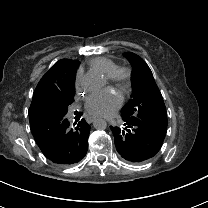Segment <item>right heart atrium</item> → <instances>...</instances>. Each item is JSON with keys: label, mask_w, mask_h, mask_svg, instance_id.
<instances>
[{"label": "right heart atrium", "mask_w": 208, "mask_h": 208, "mask_svg": "<svg viewBox=\"0 0 208 208\" xmlns=\"http://www.w3.org/2000/svg\"><path fill=\"white\" fill-rule=\"evenodd\" d=\"M73 86H74V90L77 94H84L86 92L82 71H78L76 73L75 78H74V82H73Z\"/></svg>", "instance_id": "1"}]
</instances>
